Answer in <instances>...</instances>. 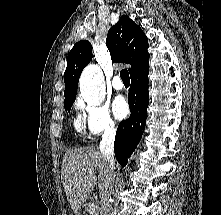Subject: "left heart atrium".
I'll return each mask as SVG.
<instances>
[{"label":"left heart atrium","mask_w":221,"mask_h":215,"mask_svg":"<svg viewBox=\"0 0 221 215\" xmlns=\"http://www.w3.org/2000/svg\"><path fill=\"white\" fill-rule=\"evenodd\" d=\"M113 112L117 119H123L127 116L129 107L123 96L119 95L115 98L113 102Z\"/></svg>","instance_id":"left-heart-atrium-1"}]
</instances>
